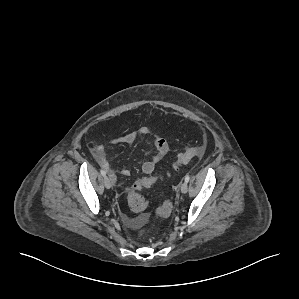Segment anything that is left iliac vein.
I'll return each mask as SVG.
<instances>
[{
    "label": "left iliac vein",
    "mask_w": 299,
    "mask_h": 299,
    "mask_svg": "<svg viewBox=\"0 0 299 299\" xmlns=\"http://www.w3.org/2000/svg\"><path fill=\"white\" fill-rule=\"evenodd\" d=\"M180 190H181V192L184 193V194L187 193V191H188V185H187V182H183V183L181 184Z\"/></svg>",
    "instance_id": "1"
}]
</instances>
